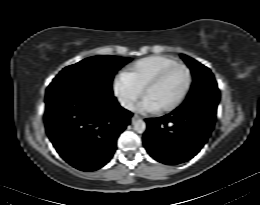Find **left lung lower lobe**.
Wrapping results in <instances>:
<instances>
[{
	"instance_id": "1",
	"label": "left lung lower lobe",
	"mask_w": 260,
	"mask_h": 205,
	"mask_svg": "<svg viewBox=\"0 0 260 205\" xmlns=\"http://www.w3.org/2000/svg\"><path fill=\"white\" fill-rule=\"evenodd\" d=\"M144 146L157 161L175 165L193 158L206 143L214 127L215 114L199 108L174 110L159 118H148Z\"/></svg>"
}]
</instances>
